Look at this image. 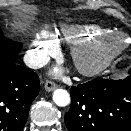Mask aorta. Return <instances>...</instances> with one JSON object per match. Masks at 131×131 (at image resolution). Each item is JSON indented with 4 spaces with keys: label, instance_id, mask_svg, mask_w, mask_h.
<instances>
[{
    "label": "aorta",
    "instance_id": "762f6f07",
    "mask_svg": "<svg viewBox=\"0 0 131 131\" xmlns=\"http://www.w3.org/2000/svg\"><path fill=\"white\" fill-rule=\"evenodd\" d=\"M53 101L58 106H61V107L67 106L70 102V95L64 89H56L53 92Z\"/></svg>",
    "mask_w": 131,
    "mask_h": 131
}]
</instances>
